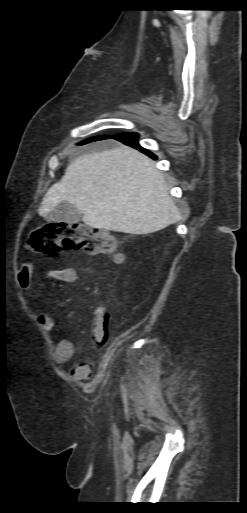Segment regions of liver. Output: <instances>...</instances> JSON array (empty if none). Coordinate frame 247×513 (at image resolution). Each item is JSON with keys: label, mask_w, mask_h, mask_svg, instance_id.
<instances>
[{"label": "liver", "mask_w": 247, "mask_h": 513, "mask_svg": "<svg viewBox=\"0 0 247 513\" xmlns=\"http://www.w3.org/2000/svg\"><path fill=\"white\" fill-rule=\"evenodd\" d=\"M62 202L74 205L92 228L135 235L161 230L180 217L153 160L125 145L71 162L46 192L38 214L46 219Z\"/></svg>", "instance_id": "liver-1"}]
</instances>
